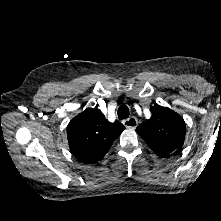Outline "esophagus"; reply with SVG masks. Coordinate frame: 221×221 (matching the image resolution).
Segmentation results:
<instances>
[{"label": "esophagus", "instance_id": "esophagus-1", "mask_svg": "<svg viewBox=\"0 0 221 221\" xmlns=\"http://www.w3.org/2000/svg\"><path fill=\"white\" fill-rule=\"evenodd\" d=\"M126 128L135 129L137 127L138 121L135 117H130L123 121Z\"/></svg>", "mask_w": 221, "mask_h": 221}]
</instances>
